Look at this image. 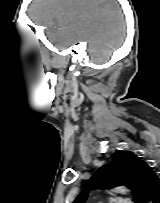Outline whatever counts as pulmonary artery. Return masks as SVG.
Segmentation results:
<instances>
[{
	"instance_id": "1",
	"label": "pulmonary artery",
	"mask_w": 160,
	"mask_h": 203,
	"mask_svg": "<svg viewBox=\"0 0 160 203\" xmlns=\"http://www.w3.org/2000/svg\"><path fill=\"white\" fill-rule=\"evenodd\" d=\"M117 203H133L131 200L123 199L119 200Z\"/></svg>"
}]
</instances>
